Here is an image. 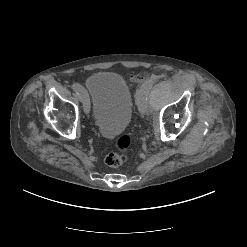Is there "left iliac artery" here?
I'll return each mask as SVG.
<instances>
[{
    "instance_id": "obj_1",
    "label": "left iliac artery",
    "mask_w": 247,
    "mask_h": 247,
    "mask_svg": "<svg viewBox=\"0 0 247 247\" xmlns=\"http://www.w3.org/2000/svg\"><path fill=\"white\" fill-rule=\"evenodd\" d=\"M154 83H155V79L151 78L142 84L141 89H144L146 92H149V90L151 89V87L153 86Z\"/></svg>"
}]
</instances>
